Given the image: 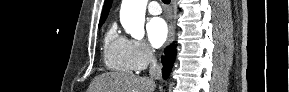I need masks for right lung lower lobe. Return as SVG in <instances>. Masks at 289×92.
<instances>
[{
  "label": "right lung lower lobe",
  "instance_id": "98d812e1",
  "mask_svg": "<svg viewBox=\"0 0 289 92\" xmlns=\"http://www.w3.org/2000/svg\"><path fill=\"white\" fill-rule=\"evenodd\" d=\"M175 47H176L175 44H171L164 51L165 56L162 57V63L164 64V68L162 69V74H163L164 79L168 77L169 72L173 66L175 56H176Z\"/></svg>",
  "mask_w": 289,
  "mask_h": 92
}]
</instances>
